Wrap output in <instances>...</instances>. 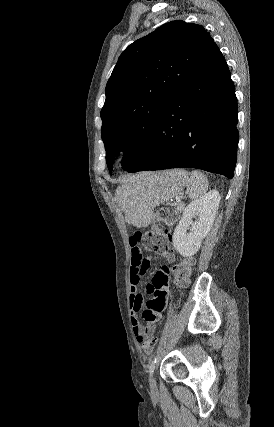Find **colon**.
<instances>
[{"label": "colon", "instance_id": "1", "mask_svg": "<svg viewBox=\"0 0 274 427\" xmlns=\"http://www.w3.org/2000/svg\"><path fill=\"white\" fill-rule=\"evenodd\" d=\"M156 219L159 222L165 224V228H162L160 223L154 222L145 233H142L144 238V243L141 245L143 251H153L154 248H168V241L166 233L168 228L173 225V222L176 219V210L172 206H163L160 207L157 211ZM144 253V252H141ZM173 274L175 277L176 284L178 286L185 285L188 275H189V266L186 263H179L174 265ZM160 338L153 335V337H148L147 341L143 342L142 353L150 354L151 350H155L156 346L160 345ZM138 364H149L150 356L149 355H138L137 356Z\"/></svg>", "mask_w": 274, "mask_h": 427}]
</instances>
